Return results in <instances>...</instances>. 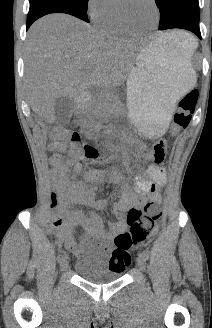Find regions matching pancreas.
<instances>
[{
    "label": "pancreas",
    "instance_id": "cf45deb5",
    "mask_svg": "<svg viewBox=\"0 0 212 328\" xmlns=\"http://www.w3.org/2000/svg\"><path fill=\"white\" fill-rule=\"evenodd\" d=\"M120 103L112 92H105L97 99L89 102L84 108V115L77 120V124L82 128L93 131L94 121L102 117L106 112L115 113L119 109Z\"/></svg>",
    "mask_w": 212,
    "mask_h": 328
}]
</instances>
